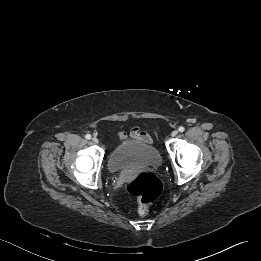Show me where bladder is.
Masks as SVG:
<instances>
[{
  "label": "bladder",
  "instance_id": "31cf9c89",
  "mask_svg": "<svg viewBox=\"0 0 261 261\" xmlns=\"http://www.w3.org/2000/svg\"><path fill=\"white\" fill-rule=\"evenodd\" d=\"M161 164V155L150 143L128 139L116 146L108 156L107 165L111 172L127 168L151 167Z\"/></svg>",
  "mask_w": 261,
  "mask_h": 261
}]
</instances>
